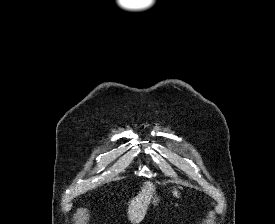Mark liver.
I'll list each match as a JSON object with an SVG mask.
<instances>
[{"instance_id":"6515ba94","label":"liver","mask_w":275,"mask_h":224,"mask_svg":"<svg viewBox=\"0 0 275 224\" xmlns=\"http://www.w3.org/2000/svg\"><path fill=\"white\" fill-rule=\"evenodd\" d=\"M153 192L154 185L146 181L138 195L130 201L127 213L133 224H139L143 220Z\"/></svg>"}]
</instances>
